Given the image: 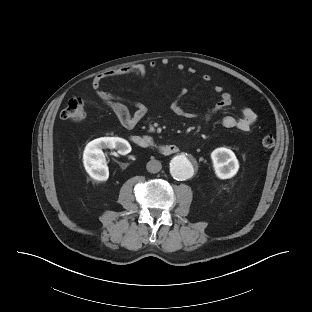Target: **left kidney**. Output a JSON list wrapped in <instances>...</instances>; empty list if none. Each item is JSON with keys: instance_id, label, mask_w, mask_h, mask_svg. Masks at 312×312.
Listing matches in <instances>:
<instances>
[{"instance_id": "obj_1", "label": "left kidney", "mask_w": 312, "mask_h": 312, "mask_svg": "<svg viewBox=\"0 0 312 312\" xmlns=\"http://www.w3.org/2000/svg\"><path fill=\"white\" fill-rule=\"evenodd\" d=\"M211 159L215 174L220 179L234 177L239 169V162L230 149L220 147L213 150Z\"/></svg>"}]
</instances>
